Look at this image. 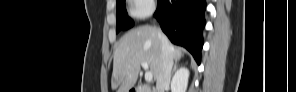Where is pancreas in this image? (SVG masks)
Returning <instances> with one entry per match:
<instances>
[{
    "mask_svg": "<svg viewBox=\"0 0 296 92\" xmlns=\"http://www.w3.org/2000/svg\"><path fill=\"white\" fill-rule=\"evenodd\" d=\"M146 88H143V92H145Z\"/></svg>",
    "mask_w": 296,
    "mask_h": 92,
    "instance_id": "cf45deb5",
    "label": "pancreas"
}]
</instances>
